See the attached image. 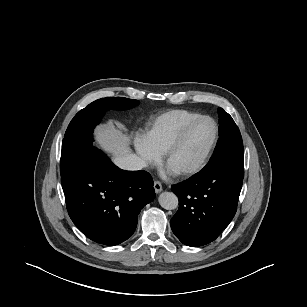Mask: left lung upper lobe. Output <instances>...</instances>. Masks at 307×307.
<instances>
[{
  "mask_svg": "<svg viewBox=\"0 0 307 307\" xmlns=\"http://www.w3.org/2000/svg\"><path fill=\"white\" fill-rule=\"evenodd\" d=\"M219 112V139L208 164L201 171L222 170L244 177V153L240 131L232 117L222 108Z\"/></svg>",
  "mask_w": 307,
  "mask_h": 307,
  "instance_id": "left-lung-upper-lobe-1",
  "label": "left lung upper lobe"
}]
</instances>
